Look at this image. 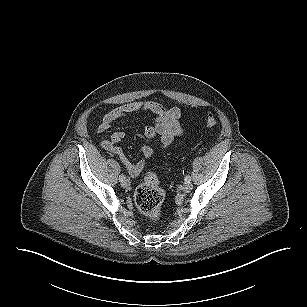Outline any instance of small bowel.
Segmentation results:
<instances>
[{
    "mask_svg": "<svg viewBox=\"0 0 307 307\" xmlns=\"http://www.w3.org/2000/svg\"><path fill=\"white\" fill-rule=\"evenodd\" d=\"M136 112H148L154 115L155 124L146 126L143 133L147 139L158 138L162 148L171 146L174 140L182 134V128L179 124L181 111L177 107H166L152 101L131 102L111 109L104 115L97 131L104 133L116 120ZM124 137L123 131H115L109 138L101 141V146L117 156L131 177H137L144 170L146 163L144 160L137 163H132L129 160L122 148L117 145ZM140 150L146 158H152L155 155L154 149L147 144H143Z\"/></svg>",
    "mask_w": 307,
    "mask_h": 307,
    "instance_id": "small-bowel-1",
    "label": "small bowel"
}]
</instances>
